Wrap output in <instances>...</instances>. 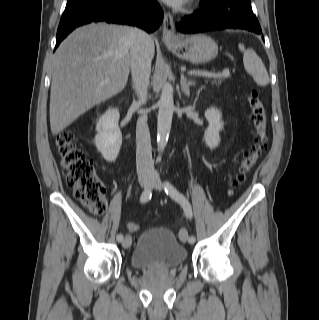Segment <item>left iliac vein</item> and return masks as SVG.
Listing matches in <instances>:
<instances>
[{"mask_svg": "<svg viewBox=\"0 0 319 320\" xmlns=\"http://www.w3.org/2000/svg\"><path fill=\"white\" fill-rule=\"evenodd\" d=\"M150 185L152 188L157 189V190H161L163 188V184L158 176H154L152 178ZM179 236H180V239L182 242H187L188 233H187L186 229H184V228L181 229Z\"/></svg>", "mask_w": 319, "mask_h": 320, "instance_id": "left-iliac-vein-1", "label": "left iliac vein"}]
</instances>
